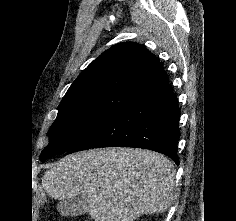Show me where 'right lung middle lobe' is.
Instances as JSON below:
<instances>
[{"label": "right lung middle lobe", "instance_id": "right-lung-middle-lobe-1", "mask_svg": "<svg viewBox=\"0 0 236 221\" xmlns=\"http://www.w3.org/2000/svg\"><path fill=\"white\" fill-rule=\"evenodd\" d=\"M135 93L127 90L98 91L60 104L57 118L48 132L50 142L42 151L40 160L68 151Z\"/></svg>", "mask_w": 236, "mask_h": 221}]
</instances>
